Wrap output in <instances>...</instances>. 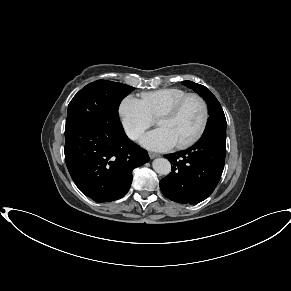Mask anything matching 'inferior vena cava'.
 Masks as SVG:
<instances>
[{
	"label": "inferior vena cava",
	"mask_w": 291,
	"mask_h": 291,
	"mask_svg": "<svg viewBox=\"0 0 291 291\" xmlns=\"http://www.w3.org/2000/svg\"><path fill=\"white\" fill-rule=\"evenodd\" d=\"M140 133L136 130H133L129 133L131 139L136 140L139 137Z\"/></svg>",
	"instance_id": "1"
}]
</instances>
